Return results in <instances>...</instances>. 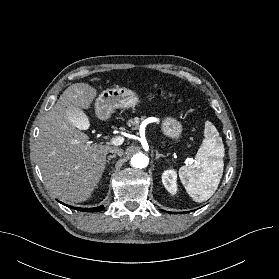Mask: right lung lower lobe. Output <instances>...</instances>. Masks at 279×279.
<instances>
[{"mask_svg":"<svg viewBox=\"0 0 279 279\" xmlns=\"http://www.w3.org/2000/svg\"><path fill=\"white\" fill-rule=\"evenodd\" d=\"M63 205H65L64 203H62ZM68 206V205H66ZM69 208L72 209H76L79 211H87V212H98L104 209L103 205L99 206V207H95V208H78V207H73V206H68Z\"/></svg>","mask_w":279,"mask_h":279,"instance_id":"obj_1","label":"right lung lower lobe"}]
</instances>
